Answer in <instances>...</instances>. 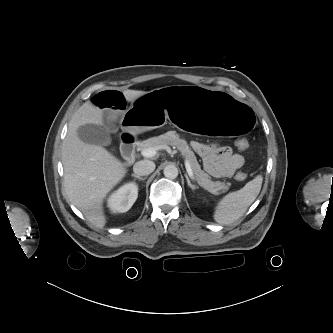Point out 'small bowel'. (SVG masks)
I'll use <instances>...</instances> for the list:
<instances>
[{"label":"small bowel","instance_id":"c3829d8e","mask_svg":"<svg viewBox=\"0 0 333 333\" xmlns=\"http://www.w3.org/2000/svg\"><path fill=\"white\" fill-rule=\"evenodd\" d=\"M90 106L102 111L107 124L112 125L126 109L127 100L120 91L107 90L96 94ZM192 148L202 158L205 170L216 178L231 177L244 164L242 155L225 146L193 141Z\"/></svg>","mask_w":333,"mask_h":333}]
</instances>
